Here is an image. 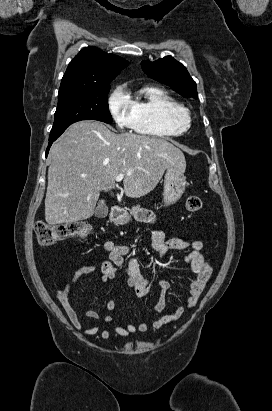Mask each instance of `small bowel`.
Instances as JSON below:
<instances>
[{"label": "small bowel", "mask_w": 272, "mask_h": 411, "mask_svg": "<svg viewBox=\"0 0 272 411\" xmlns=\"http://www.w3.org/2000/svg\"><path fill=\"white\" fill-rule=\"evenodd\" d=\"M138 217L141 221L151 224L154 223V216L150 212H141ZM150 246L162 258H166L168 253L172 250H190V252L185 255L184 262L189 265L190 270L193 274V279L190 283L189 296L186 301L185 307L178 308L172 314L162 313L166 304L165 294L168 292L170 285L165 280H159L157 282V285L160 290V296L154 306L155 312L159 315L153 321L151 326L147 322L142 321L137 325L127 323L122 326H113L111 328H106L100 332L99 327L96 325H84L80 321L76 311L68 300L71 288L82 277L90 275L97 270V267L95 265H86L79 268L74 273L71 281L65 287V294L59 298V301L63 306L66 315L76 329L82 330L84 334L89 336L100 333V336L103 340H108L113 333L122 338H127L137 332L146 333L150 329V327L154 330L161 329L165 325L179 319L185 312V310H192L197 306L206 283L208 282L212 273L210 264L205 260L202 254L204 247L203 242L200 240L187 241L178 238L167 240L162 230L153 227L150 230ZM103 247L104 250L109 254V259L104 261L100 266L101 281L103 283L111 282L116 278L118 269L121 268L125 273L126 284L134 291L136 296H147L150 292L151 281L143 276L137 259L130 255V246L124 244H116L113 241H106ZM105 307L107 311L112 312L116 308V301L113 299L109 300L106 303ZM84 315L89 319L102 320L105 323H110L113 320L111 315L101 316L94 310H87L85 311Z\"/></svg>", "instance_id": "1"}]
</instances>
